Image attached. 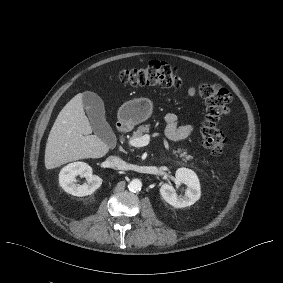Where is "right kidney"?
<instances>
[{"label": "right kidney", "instance_id": "ca27d5eb", "mask_svg": "<svg viewBox=\"0 0 283 283\" xmlns=\"http://www.w3.org/2000/svg\"><path fill=\"white\" fill-rule=\"evenodd\" d=\"M86 178V183L79 185L76 183V176ZM59 183L64 191L74 196L83 197L91 195L97 190L101 184L102 179L92 174V168L84 162H74L65 166L59 174Z\"/></svg>", "mask_w": 283, "mask_h": 283}]
</instances>
